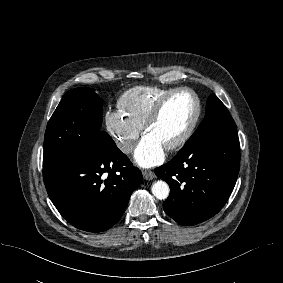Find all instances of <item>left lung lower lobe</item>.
Returning a JSON list of instances; mask_svg holds the SVG:
<instances>
[{
    "instance_id": "obj_1",
    "label": "left lung lower lobe",
    "mask_w": 283,
    "mask_h": 283,
    "mask_svg": "<svg viewBox=\"0 0 283 283\" xmlns=\"http://www.w3.org/2000/svg\"><path fill=\"white\" fill-rule=\"evenodd\" d=\"M240 168L236 131L185 144L155 174L170 186L164 211L182 225H195L216 215L227 202Z\"/></svg>"
}]
</instances>
